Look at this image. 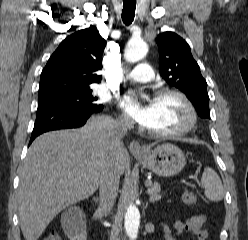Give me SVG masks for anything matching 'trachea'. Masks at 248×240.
<instances>
[{
	"label": "trachea",
	"instance_id": "trachea-1",
	"mask_svg": "<svg viewBox=\"0 0 248 240\" xmlns=\"http://www.w3.org/2000/svg\"><path fill=\"white\" fill-rule=\"evenodd\" d=\"M136 1H124L122 10V20L126 26H129L135 17Z\"/></svg>",
	"mask_w": 248,
	"mask_h": 240
}]
</instances>
